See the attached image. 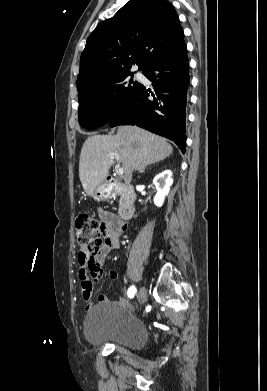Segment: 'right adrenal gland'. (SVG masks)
<instances>
[{
	"label": "right adrenal gland",
	"mask_w": 267,
	"mask_h": 391,
	"mask_svg": "<svg viewBox=\"0 0 267 391\" xmlns=\"http://www.w3.org/2000/svg\"><path fill=\"white\" fill-rule=\"evenodd\" d=\"M146 168V167H145ZM145 168H143L142 170H140L139 172L140 173H143L145 171Z\"/></svg>",
	"instance_id": "obj_1"
}]
</instances>
